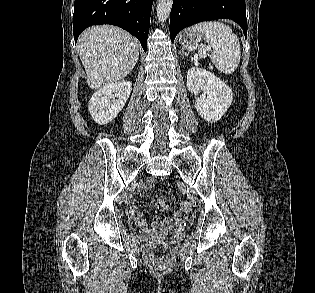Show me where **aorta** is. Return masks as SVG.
<instances>
[{"label": "aorta", "instance_id": "aorta-1", "mask_svg": "<svg viewBox=\"0 0 315 293\" xmlns=\"http://www.w3.org/2000/svg\"><path fill=\"white\" fill-rule=\"evenodd\" d=\"M173 0H158L157 17L160 22H165L170 15Z\"/></svg>", "mask_w": 315, "mask_h": 293}]
</instances>
